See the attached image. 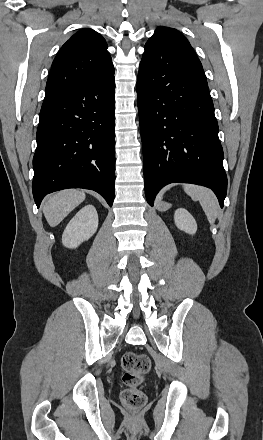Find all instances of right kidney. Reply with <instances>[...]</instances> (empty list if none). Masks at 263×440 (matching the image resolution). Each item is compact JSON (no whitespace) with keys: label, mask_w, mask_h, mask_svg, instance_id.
Wrapping results in <instances>:
<instances>
[{"label":"right kidney","mask_w":263,"mask_h":440,"mask_svg":"<svg viewBox=\"0 0 263 440\" xmlns=\"http://www.w3.org/2000/svg\"><path fill=\"white\" fill-rule=\"evenodd\" d=\"M98 228V214L93 205H86L70 220L62 235V244L76 248L95 234Z\"/></svg>","instance_id":"obj_1"}]
</instances>
